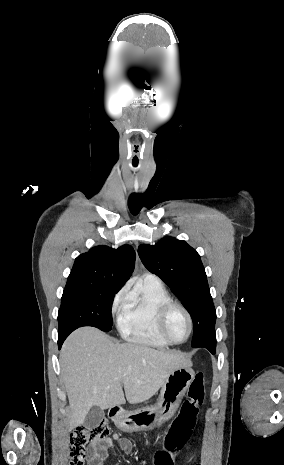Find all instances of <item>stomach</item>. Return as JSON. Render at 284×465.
<instances>
[{"label":"stomach","mask_w":284,"mask_h":465,"mask_svg":"<svg viewBox=\"0 0 284 465\" xmlns=\"http://www.w3.org/2000/svg\"><path fill=\"white\" fill-rule=\"evenodd\" d=\"M193 377L194 371L191 367L176 369L163 383L156 405L118 413L113 417L116 427L124 433L151 431L161 427L165 421H169L175 415Z\"/></svg>","instance_id":"0dacf381"}]
</instances>
